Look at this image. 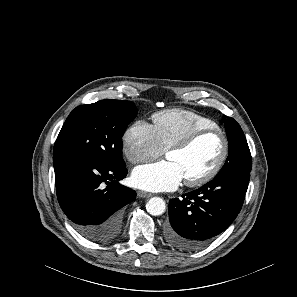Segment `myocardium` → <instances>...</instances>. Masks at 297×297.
Instances as JSON below:
<instances>
[{
	"label": "myocardium",
	"mask_w": 297,
	"mask_h": 297,
	"mask_svg": "<svg viewBox=\"0 0 297 297\" xmlns=\"http://www.w3.org/2000/svg\"><path fill=\"white\" fill-rule=\"evenodd\" d=\"M209 134H215L221 139L223 145L222 153L215 165L209 171L198 177L186 179L185 184L187 186L194 187L203 185L212 180L220 172L229 155V141L227 136L217 127L197 129L172 143L166 150V154L173 150H185L191 147L201 137Z\"/></svg>",
	"instance_id": "f54148a6"
}]
</instances>
